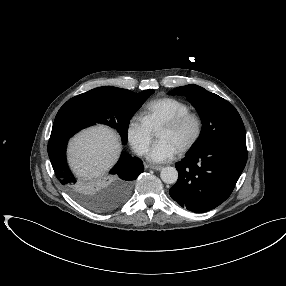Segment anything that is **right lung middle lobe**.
<instances>
[{"mask_svg": "<svg viewBox=\"0 0 286 286\" xmlns=\"http://www.w3.org/2000/svg\"><path fill=\"white\" fill-rule=\"evenodd\" d=\"M153 93L154 90L134 93L112 86L98 87L68 100L58 111L54 123L73 133L97 123L106 124L116 129L126 144L131 117ZM130 191L125 195V188L120 186L110 204L106 203L109 197L105 190L98 194L85 192L77 198L87 208L102 212L125 200Z\"/></svg>", "mask_w": 286, "mask_h": 286, "instance_id": "1", "label": "right lung middle lobe"}]
</instances>
